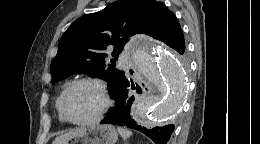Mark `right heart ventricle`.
<instances>
[{
	"label": "right heart ventricle",
	"mask_w": 260,
	"mask_h": 144,
	"mask_svg": "<svg viewBox=\"0 0 260 144\" xmlns=\"http://www.w3.org/2000/svg\"><path fill=\"white\" fill-rule=\"evenodd\" d=\"M72 83L70 81L65 82L62 87L61 90L56 98V102H55V106H56V110H57V115H58V119L60 122H65L66 120L64 119L63 115H62V111H61V102H62V98L63 95L65 94L66 90L69 88V86Z\"/></svg>",
	"instance_id": "right-heart-ventricle-1"
}]
</instances>
